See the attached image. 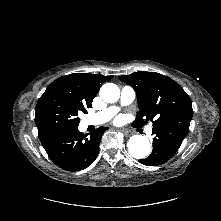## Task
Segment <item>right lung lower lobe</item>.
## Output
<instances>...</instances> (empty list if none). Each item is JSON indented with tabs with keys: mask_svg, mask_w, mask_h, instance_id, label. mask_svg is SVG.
<instances>
[{
	"mask_svg": "<svg viewBox=\"0 0 221 221\" xmlns=\"http://www.w3.org/2000/svg\"><path fill=\"white\" fill-rule=\"evenodd\" d=\"M100 127L89 137L78 129L58 133L41 141L50 159L60 168L68 171H79L90 166L99 152L102 132Z\"/></svg>",
	"mask_w": 221,
	"mask_h": 221,
	"instance_id": "98d812e1",
	"label": "right lung lower lobe"
}]
</instances>
